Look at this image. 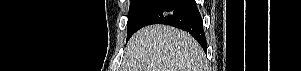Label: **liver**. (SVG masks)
I'll list each match as a JSON object with an SVG mask.
<instances>
[{
    "instance_id": "6515ba94",
    "label": "liver",
    "mask_w": 301,
    "mask_h": 71,
    "mask_svg": "<svg viewBox=\"0 0 301 71\" xmlns=\"http://www.w3.org/2000/svg\"><path fill=\"white\" fill-rule=\"evenodd\" d=\"M124 71H205V54L188 33L165 25L137 31L125 48Z\"/></svg>"
}]
</instances>
